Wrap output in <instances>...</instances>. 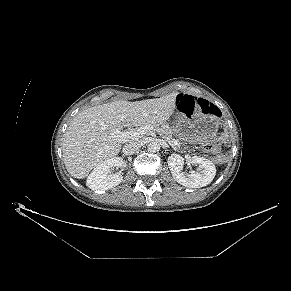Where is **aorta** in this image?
I'll return each mask as SVG.
<instances>
[{"label":"aorta","instance_id":"aorta-1","mask_svg":"<svg viewBox=\"0 0 291 291\" xmlns=\"http://www.w3.org/2000/svg\"><path fill=\"white\" fill-rule=\"evenodd\" d=\"M147 149H148V151L151 152V153H156V152H158V151L160 150V146H159V144L156 143V142H150V143L148 144V146H147Z\"/></svg>","mask_w":291,"mask_h":291}]
</instances>
